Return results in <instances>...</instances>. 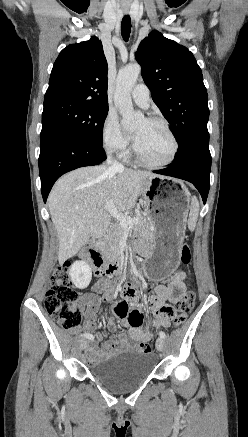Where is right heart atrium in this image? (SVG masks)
<instances>
[{"instance_id":"d8ad5b80","label":"right heart atrium","mask_w":248,"mask_h":437,"mask_svg":"<svg viewBox=\"0 0 248 437\" xmlns=\"http://www.w3.org/2000/svg\"><path fill=\"white\" fill-rule=\"evenodd\" d=\"M102 142L104 147L112 152L126 154L130 138L122 129L117 114L108 111L102 124Z\"/></svg>"}]
</instances>
